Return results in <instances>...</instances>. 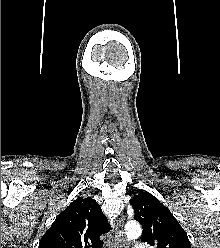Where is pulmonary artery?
Returning a JSON list of instances; mask_svg holds the SVG:
<instances>
[{
	"label": "pulmonary artery",
	"instance_id": "e3ab8cb5",
	"mask_svg": "<svg viewBox=\"0 0 220 248\" xmlns=\"http://www.w3.org/2000/svg\"><path fill=\"white\" fill-rule=\"evenodd\" d=\"M135 248H148L145 244H137Z\"/></svg>",
	"mask_w": 220,
	"mask_h": 248
}]
</instances>
